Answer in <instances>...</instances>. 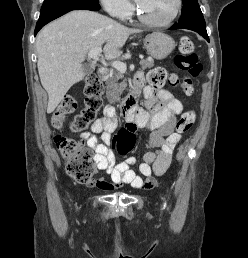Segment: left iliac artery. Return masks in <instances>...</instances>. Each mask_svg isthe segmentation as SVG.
I'll return each mask as SVG.
<instances>
[{"label": "left iliac artery", "mask_w": 248, "mask_h": 258, "mask_svg": "<svg viewBox=\"0 0 248 258\" xmlns=\"http://www.w3.org/2000/svg\"><path fill=\"white\" fill-rule=\"evenodd\" d=\"M165 207H166V202H164V204H163V208L165 209Z\"/></svg>", "instance_id": "obj_1"}]
</instances>
